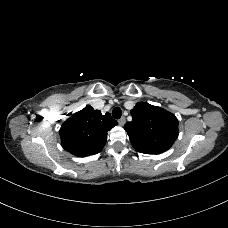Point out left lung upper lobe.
<instances>
[{
  "mask_svg": "<svg viewBox=\"0 0 228 228\" xmlns=\"http://www.w3.org/2000/svg\"><path fill=\"white\" fill-rule=\"evenodd\" d=\"M132 121L125 124L132 146L145 154L167 151L178 137V120L174 114L146 102L131 110Z\"/></svg>",
  "mask_w": 228,
  "mask_h": 228,
  "instance_id": "1",
  "label": "left lung upper lobe"
}]
</instances>
